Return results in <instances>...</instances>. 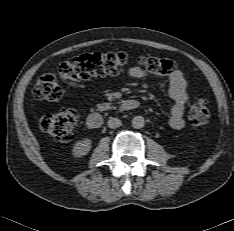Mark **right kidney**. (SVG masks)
Masks as SVG:
<instances>
[{"label":"right kidney","mask_w":234,"mask_h":231,"mask_svg":"<svg viewBox=\"0 0 234 231\" xmlns=\"http://www.w3.org/2000/svg\"><path fill=\"white\" fill-rule=\"evenodd\" d=\"M92 141L88 138L77 141L73 146V154L76 157H81L86 155L91 149Z\"/></svg>","instance_id":"ca27d5eb"}]
</instances>
